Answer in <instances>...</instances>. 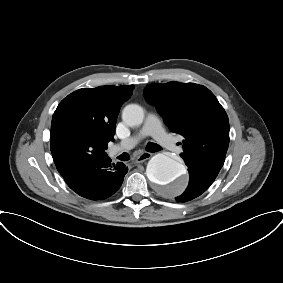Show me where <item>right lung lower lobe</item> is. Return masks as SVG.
I'll return each mask as SVG.
<instances>
[{
  "label": "right lung lower lobe",
  "instance_id": "98d812e1",
  "mask_svg": "<svg viewBox=\"0 0 283 283\" xmlns=\"http://www.w3.org/2000/svg\"><path fill=\"white\" fill-rule=\"evenodd\" d=\"M127 171L124 164H112L106 155L72 169L63 178L78 195L100 200L110 197L120 188Z\"/></svg>",
  "mask_w": 283,
  "mask_h": 283
}]
</instances>
